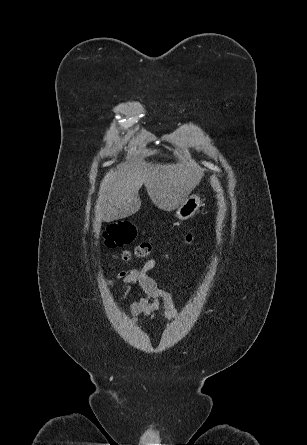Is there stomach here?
Here are the masks:
<instances>
[{"label": "stomach", "instance_id": "1", "mask_svg": "<svg viewBox=\"0 0 307 445\" xmlns=\"http://www.w3.org/2000/svg\"><path fill=\"white\" fill-rule=\"evenodd\" d=\"M199 206H201V198L198 194H190L180 206H178L175 216L179 220H186V218H191L197 212Z\"/></svg>", "mask_w": 307, "mask_h": 445}]
</instances>
